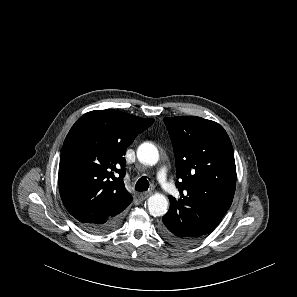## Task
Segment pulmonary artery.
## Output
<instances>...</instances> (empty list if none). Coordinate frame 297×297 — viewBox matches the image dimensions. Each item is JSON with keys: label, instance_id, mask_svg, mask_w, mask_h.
I'll return each mask as SVG.
<instances>
[{"label": "pulmonary artery", "instance_id": "1", "mask_svg": "<svg viewBox=\"0 0 297 297\" xmlns=\"http://www.w3.org/2000/svg\"><path fill=\"white\" fill-rule=\"evenodd\" d=\"M158 180L159 182L163 185V187L165 188V190L169 193V194H173L176 191V187L174 184L170 183L167 179V169L166 167H162L158 174H157Z\"/></svg>", "mask_w": 297, "mask_h": 297}]
</instances>
